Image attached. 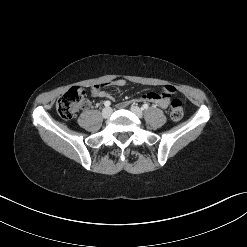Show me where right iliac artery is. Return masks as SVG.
<instances>
[{
    "label": "right iliac artery",
    "mask_w": 247,
    "mask_h": 247,
    "mask_svg": "<svg viewBox=\"0 0 247 247\" xmlns=\"http://www.w3.org/2000/svg\"><path fill=\"white\" fill-rule=\"evenodd\" d=\"M104 105H105L106 107H109V106L111 105V102L107 100V101L104 102Z\"/></svg>",
    "instance_id": "82829eb1"
}]
</instances>
